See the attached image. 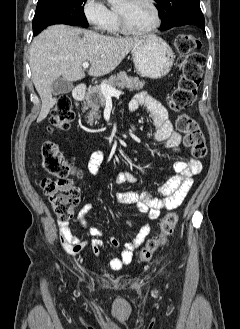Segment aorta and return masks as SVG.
Listing matches in <instances>:
<instances>
[{"label": "aorta", "instance_id": "1", "mask_svg": "<svg viewBox=\"0 0 240 329\" xmlns=\"http://www.w3.org/2000/svg\"><path fill=\"white\" fill-rule=\"evenodd\" d=\"M123 0H108V2L112 5H116V4H119L121 3Z\"/></svg>", "mask_w": 240, "mask_h": 329}]
</instances>
